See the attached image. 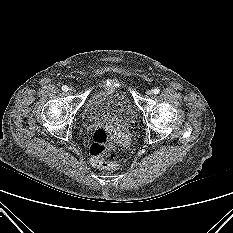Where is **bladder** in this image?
<instances>
[{"label": "bladder", "mask_w": 233, "mask_h": 233, "mask_svg": "<svg viewBox=\"0 0 233 233\" xmlns=\"http://www.w3.org/2000/svg\"><path fill=\"white\" fill-rule=\"evenodd\" d=\"M83 119L87 122L104 121L128 125L136 118V109L131 99L122 91L100 89L86 101Z\"/></svg>", "instance_id": "31cf9c89"}]
</instances>
